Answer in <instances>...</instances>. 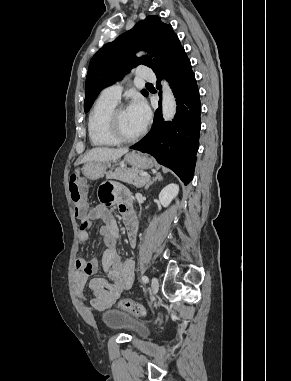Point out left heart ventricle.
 <instances>
[{
  "label": "left heart ventricle",
  "instance_id": "b2bd125f",
  "mask_svg": "<svg viewBox=\"0 0 291 381\" xmlns=\"http://www.w3.org/2000/svg\"><path fill=\"white\" fill-rule=\"evenodd\" d=\"M118 124L121 133L127 137L135 136L143 129L128 108L119 114Z\"/></svg>",
  "mask_w": 291,
  "mask_h": 381
}]
</instances>
